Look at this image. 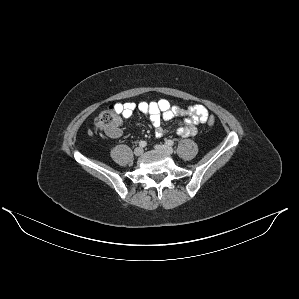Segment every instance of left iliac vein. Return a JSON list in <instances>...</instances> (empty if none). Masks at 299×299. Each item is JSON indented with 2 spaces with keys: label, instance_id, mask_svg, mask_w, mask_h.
<instances>
[{
  "label": "left iliac vein",
  "instance_id": "4c4485c4",
  "mask_svg": "<svg viewBox=\"0 0 299 299\" xmlns=\"http://www.w3.org/2000/svg\"><path fill=\"white\" fill-rule=\"evenodd\" d=\"M154 148L160 152H164L166 154H172L174 152L173 148L167 145L158 144L155 145Z\"/></svg>",
  "mask_w": 299,
  "mask_h": 299
}]
</instances>
